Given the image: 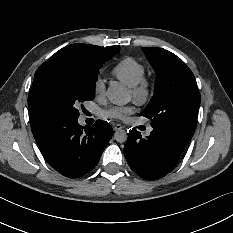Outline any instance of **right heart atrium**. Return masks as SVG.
Instances as JSON below:
<instances>
[{
  "label": "right heart atrium",
  "instance_id": "obj_1",
  "mask_svg": "<svg viewBox=\"0 0 233 233\" xmlns=\"http://www.w3.org/2000/svg\"><path fill=\"white\" fill-rule=\"evenodd\" d=\"M94 93L95 95H103L105 93V83L102 78H97L94 83Z\"/></svg>",
  "mask_w": 233,
  "mask_h": 233
}]
</instances>
